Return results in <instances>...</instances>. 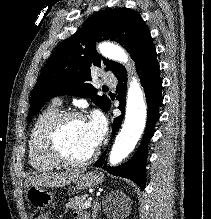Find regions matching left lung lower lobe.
Listing matches in <instances>:
<instances>
[{
	"mask_svg": "<svg viewBox=\"0 0 211 219\" xmlns=\"http://www.w3.org/2000/svg\"><path fill=\"white\" fill-rule=\"evenodd\" d=\"M133 59L135 61L137 73L141 78V83L145 91L148 105V118L143 140L134 156L125 164L115 168L110 166L107 168L104 153L95 163V166L100 167L104 165V168H107V171L111 174L131 179L143 190L146 183L148 143L153 136L154 126L159 119V107L162 104V80L159 75V63L156 59V49L151 35L146 39ZM115 76L118 79V85L116 87V92L118 93L117 100L120 102L118 108L124 113L127 82V73L125 68L120 70ZM122 120L123 116H119L114 119L112 125V135L116 134Z\"/></svg>",
	"mask_w": 211,
	"mask_h": 219,
	"instance_id": "left-lung-lower-lobe-1",
	"label": "left lung lower lobe"
}]
</instances>
